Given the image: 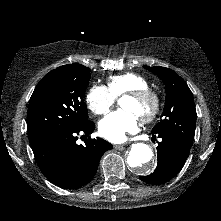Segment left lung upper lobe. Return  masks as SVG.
Masks as SVG:
<instances>
[{"label": "left lung upper lobe", "instance_id": "left-lung-upper-lobe-1", "mask_svg": "<svg viewBox=\"0 0 221 221\" xmlns=\"http://www.w3.org/2000/svg\"><path fill=\"white\" fill-rule=\"evenodd\" d=\"M165 84L166 102L162 119L152 129L155 134H167L191 148L196 123L193 94L186 82L173 70L165 67L143 66Z\"/></svg>", "mask_w": 221, "mask_h": 221}]
</instances>
